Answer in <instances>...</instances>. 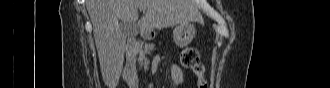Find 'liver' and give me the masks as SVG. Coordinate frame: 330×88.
I'll use <instances>...</instances> for the list:
<instances>
[{
  "instance_id": "6515ba94",
  "label": "liver",
  "mask_w": 330,
  "mask_h": 88,
  "mask_svg": "<svg viewBox=\"0 0 330 88\" xmlns=\"http://www.w3.org/2000/svg\"><path fill=\"white\" fill-rule=\"evenodd\" d=\"M138 9H145L140 20ZM87 10L102 77L109 88H116L124 63L127 36L119 20L134 24L141 34L202 21L200 12L190 0H88Z\"/></svg>"
}]
</instances>
